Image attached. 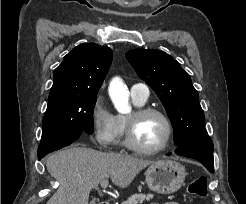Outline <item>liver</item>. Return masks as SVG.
Instances as JSON below:
<instances>
[{
	"mask_svg": "<svg viewBox=\"0 0 246 204\" xmlns=\"http://www.w3.org/2000/svg\"><path fill=\"white\" fill-rule=\"evenodd\" d=\"M155 163L120 153H103L85 147H71L48 157L46 167L59 182L47 204H88L90 191L111 178L126 188L136 175Z\"/></svg>",
	"mask_w": 246,
	"mask_h": 204,
	"instance_id": "obj_1",
	"label": "liver"
}]
</instances>
